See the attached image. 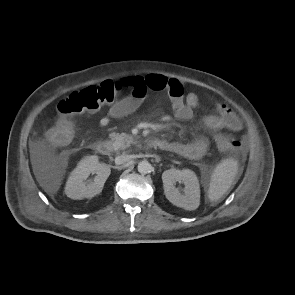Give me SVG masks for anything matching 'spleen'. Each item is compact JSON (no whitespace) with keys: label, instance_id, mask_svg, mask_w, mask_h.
Wrapping results in <instances>:
<instances>
[{"label":"spleen","instance_id":"3e777b00","mask_svg":"<svg viewBox=\"0 0 295 295\" xmlns=\"http://www.w3.org/2000/svg\"><path fill=\"white\" fill-rule=\"evenodd\" d=\"M237 170V161L233 159H224L215 167L208 189V198L211 202L219 200L228 191Z\"/></svg>","mask_w":295,"mask_h":295}]
</instances>
